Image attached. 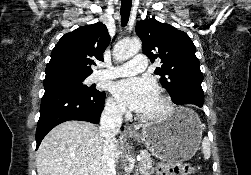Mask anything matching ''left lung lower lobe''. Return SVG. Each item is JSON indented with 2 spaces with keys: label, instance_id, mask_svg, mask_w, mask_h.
<instances>
[{
  "label": "left lung lower lobe",
  "instance_id": "left-lung-lower-lobe-1",
  "mask_svg": "<svg viewBox=\"0 0 251 175\" xmlns=\"http://www.w3.org/2000/svg\"><path fill=\"white\" fill-rule=\"evenodd\" d=\"M172 101L177 105L184 106L182 115L185 118L196 119L203 113L201 108L204 104V97L182 92L173 97Z\"/></svg>",
  "mask_w": 251,
  "mask_h": 175
}]
</instances>
